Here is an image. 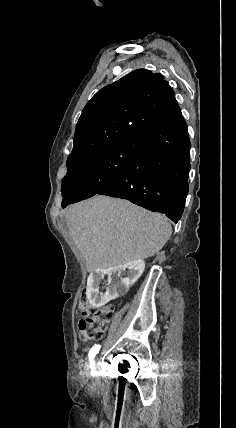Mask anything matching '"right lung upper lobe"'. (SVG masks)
Segmentation results:
<instances>
[{"label":"right lung upper lobe","instance_id":"cb5924a9","mask_svg":"<svg viewBox=\"0 0 236 428\" xmlns=\"http://www.w3.org/2000/svg\"><path fill=\"white\" fill-rule=\"evenodd\" d=\"M180 108L159 73L135 70L99 90L78 120L67 167L120 142L137 139Z\"/></svg>","mask_w":236,"mask_h":428}]
</instances>
